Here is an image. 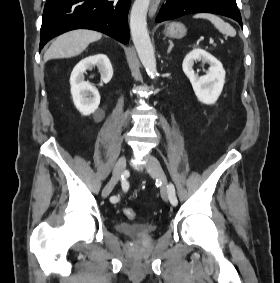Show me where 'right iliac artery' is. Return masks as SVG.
<instances>
[{"instance_id": "right-iliac-artery-1", "label": "right iliac artery", "mask_w": 280, "mask_h": 283, "mask_svg": "<svg viewBox=\"0 0 280 283\" xmlns=\"http://www.w3.org/2000/svg\"><path fill=\"white\" fill-rule=\"evenodd\" d=\"M121 185H122V188H126V187H127V181H126V179L124 178V176H121ZM110 201H111L112 203H118V201H119V196H116V195L112 196V197L110 198Z\"/></svg>"}]
</instances>
